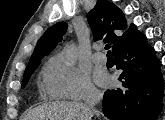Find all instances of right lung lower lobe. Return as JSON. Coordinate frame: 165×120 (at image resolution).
Masks as SVG:
<instances>
[{
    "label": "right lung lower lobe",
    "mask_w": 165,
    "mask_h": 120,
    "mask_svg": "<svg viewBox=\"0 0 165 120\" xmlns=\"http://www.w3.org/2000/svg\"><path fill=\"white\" fill-rule=\"evenodd\" d=\"M113 54L116 68L123 69L122 86L104 93V115L111 120H154L164 95L161 62L154 49L140 34Z\"/></svg>",
    "instance_id": "obj_1"
}]
</instances>
